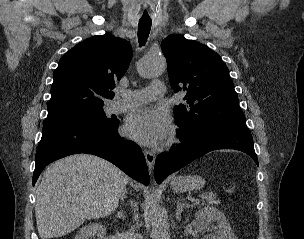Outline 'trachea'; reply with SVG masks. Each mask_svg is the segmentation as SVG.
<instances>
[{
	"label": "trachea",
	"mask_w": 304,
	"mask_h": 239,
	"mask_svg": "<svg viewBox=\"0 0 304 239\" xmlns=\"http://www.w3.org/2000/svg\"><path fill=\"white\" fill-rule=\"evenodd\" d=\"M139 17H140V20H139V25H138V42L141 46H143V45H145V43L148 39L151 25H152V20H151L149 12H140Z\"/></svg>",
	"instance_id": "trachea-1"
}]
</instances>
